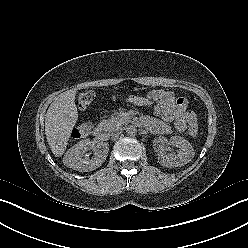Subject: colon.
<instances>
[{
	"instance_id": "obj_1",
	"label": "colon",
	"mask_w": 248,
	"mask_h": 248,
	"mask_svg": "<svg viewBox=\"0 0 248 248\" xmlns=\"http://www.w3.org/2000/svg\"><path fill=\"white\" fill-rule=\"evenodd\" d=\"M94 100V94L92 92H83L79 94L77 98V103L80 109H87L91 106L92 102ZM189 133L191 136H196L198 132V124L195 118L189 119ZM94 126L93 121H88L86 123H83L76 128H74L72 132V136L74 138H83L89 134L91 129Z\"/></svg>"
}]
</instances>
